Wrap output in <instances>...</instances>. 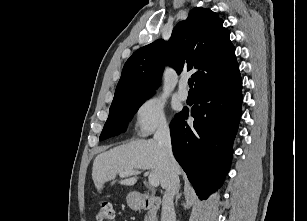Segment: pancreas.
I'll use <instances>...</instances> for the list:
<instances>
[{
    "mask_svg": "<svg viewBox=\"0 0 307 221\" xmlns=\"http://www.w3.org/2000/svg\"><path fill=\"white\" fill-rule=\"evenodd\" d=\"M145 221H157L153 216H151L150 214L145 216Z\"/></svg>",
    "mask_w": 307,
    "mask_h": 221,
    "instance_id": "obj_1",
    "label": "pancreas"
}]
</instances>
